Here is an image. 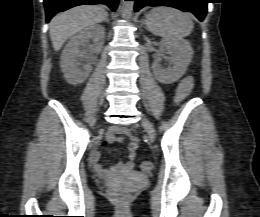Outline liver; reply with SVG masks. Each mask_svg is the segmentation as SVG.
Returning a JSON list of instances; mask_svg holds the SVG:
<instances>
[{"mask_svg": "<svg viewBox=\"0 0 260 217\" xmlns=\"http://www.w3.org/2000/svg\"><path fill=\"white\" fill-rule=\"evenodd\" d=\"M103 7L82 5L57 14L50 21V39L55 51H59L68 38L87 26L106 20Z\"/></svg>", "mask_w": 260, "mask_h": 217, "instance_id": "obj_1", "label": "liver"}]
</instances>
